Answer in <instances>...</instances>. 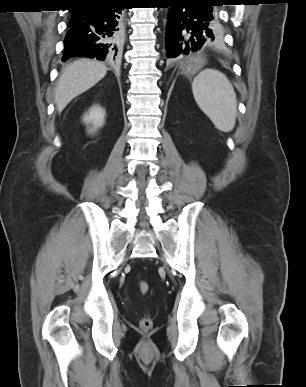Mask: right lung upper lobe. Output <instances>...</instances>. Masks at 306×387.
Returning <instances> with one entry per match:
<instances>
[{
	"label": "right lung upper lobe",
	"mask_w": 306,
	"mask_h": 387,
	"mask_svg": "<svg viewBox=\"0 0 306 387\" xmlns=\"http://www.w3.org/2000/svg\"><path fill=\"white\" fill-rule=\"evenodd\" d=\"M78 4H91V3H98L104 0H75Z\"/></svg>",
	"instance_id": "cb5924a9"
}]
</instances>
